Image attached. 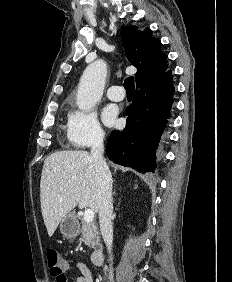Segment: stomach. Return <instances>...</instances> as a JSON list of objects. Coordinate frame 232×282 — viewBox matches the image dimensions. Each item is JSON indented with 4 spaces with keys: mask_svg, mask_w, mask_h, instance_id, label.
<instances>
[{
    "mask_svg": "<svg viewBox=\"0 0 232 282\" xmlns=\"http://www.w3.org/2000/svg\"><path fill=\"white\" fill-rule=\"evenodd\" d=\"M59 229L61 234L68 238H75L79 233V223L74 213L69 212L60 221Z\"/></svg>",
    "mask_w": 232,
    "mask_h": 282,
    "instance_id": "stomach-1",
    "label": "stomach"
}]
</instances>
